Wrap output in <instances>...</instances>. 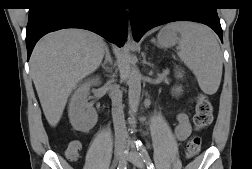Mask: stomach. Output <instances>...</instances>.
Segmentation results:
<instances>
[{"label": "stomach", "instance_id": "obj_1", "mask_svg": "<svg viewBox=\"0 0 252 169\" xmlns=\"http://www.w3.org/2000/svg\"><path fill=\"white\" fill-rule=\"evenodd\" d=\"M157 41L161 47L174 46L179 42L178 31L172 25H168L160 30Z\"/></svg>", "mask_w": 252, "mask_h": 169}]
</instances>
